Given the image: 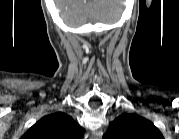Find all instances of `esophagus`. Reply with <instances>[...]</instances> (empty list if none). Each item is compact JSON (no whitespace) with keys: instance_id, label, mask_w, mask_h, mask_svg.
I'll list each match as a JSON object with an SVG mask.
<instances>
[{"instance_id":"esophagus-1","label":"esophagus","mask_w":179,"mask_h":139,"mask_svg":"<svg viewBox=\"0 0 179 139\" xmlns=\"http://www.w3.org/2000/svg\"><path fill=\"white\" fill-rule=\"evenodd\" d=\"M102 135H103V133L101 130H96L92 133L91 137L93 139H101Z\"/></svg>"}]
</instances>
